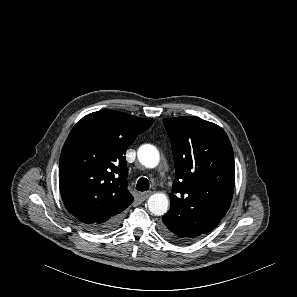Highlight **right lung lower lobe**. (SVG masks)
I'll return each instance as SVG.
<instances>
[{
  "mask_svg": "<svg viewBox=\"0 0 297 297\" xmlns=\"http://www.w3.org/2000/svg\"><path fill=\"white\" fill-rule=\"evenodd\" d=\"M122 214L115 215L111 217L109 220L103 223L94 224L91 226L85 227L88 231L93 233H107L114 230L121 221Z\"/></svg>",
  "mask_w": 297,
  "mask_h": 297,
  "instance_id": "obj_1",
  "label": "right lung lower lobe"
}]
</instances>
